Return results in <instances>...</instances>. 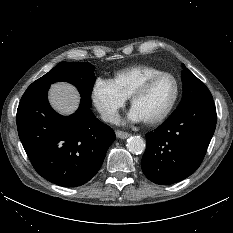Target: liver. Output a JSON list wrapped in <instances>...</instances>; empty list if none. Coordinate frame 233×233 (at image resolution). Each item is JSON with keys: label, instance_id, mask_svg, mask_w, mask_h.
I'll return each instance as SVG.
<instances>
[{"label": "liver", "instance_id": "6515ba94", "mask_svg": "<svg viewBox=\"0 0 233 233\" xmlns=\"http://www.w3.org/2000/svg\"><path fill=\"white\" fill-rule=\"evenodd\" d=\"M49 102L58 113L70 115L78 109L80 96L73 85L65 82H58L53 84L50 88Z\"/></svg>", "mask_w": 233, "mask_h": 233}]
</instances>
